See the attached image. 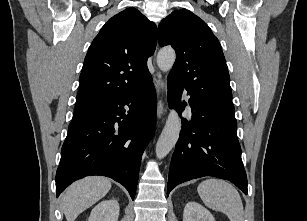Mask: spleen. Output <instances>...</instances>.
Returning a JSON list of instances; mask_svg holds the SVG:
<instances>
[{
	"label": "spleen",
	"instance_id": "spleen-1",
	"mask_svg": "<svg viewBox=\"0 0 307 221\" xmlns=\"http://www.w3.org/2000/svg\"><path fill=\"white\" fill-rule=\"evenodd\" d=\"M204 204L223 212L230 221H243V204L238 191L228 182L216 178L202 181L197 188Z\"/></svg>",
	"mask_w": 307,
	"mask_h": 221
}]
</instances>
